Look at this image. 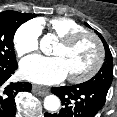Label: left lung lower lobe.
<instances>
[{
    "instance_id": "left-lung-lower-lobe-1",
    "label": "left lung lower lobe",
    "mask_w": 117,
    "mask_h": 117,
    "mask_svg": "<svg viewBox=\"0 0 117 117\" xmlns=\"http://www.w3.org/2000/svg\"><path fill=\"white\" fill-rule=\"evenodd\" d=\"M51 91L60 97L63 108L59 113H45V117H94L105 104L107 95L86 83L54 87Z\"/></svg>"
}]
</instances>
